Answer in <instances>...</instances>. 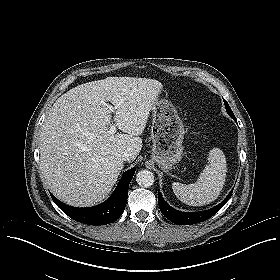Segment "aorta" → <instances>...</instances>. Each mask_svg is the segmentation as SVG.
Returning a JSON list of instances; mask_svg holds the SVG:
<instances>
[{
	"label": "aorta",
	"mask_w": 280,
	"mask_h": 280,
	"mask_svg": "<svg viewBox=\"0 0 280 280\" xmlns=\"http://www.w3.org/2000/svg\"><path fill=\"white\" fill-rule=\"evenodd\" d=\"M136 182L139 186L148 188L154 183V175L149 170H141L136 175Z\"/></svg>",
	"instance_id": "aorta-1"
}]
</instances>
